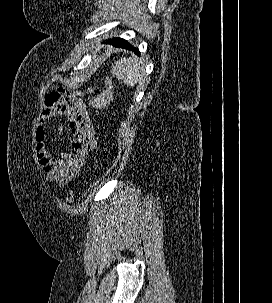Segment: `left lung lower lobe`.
<instances>
[{"label": "left lung lower lobe", "instance_id": "0a47b994", "mask_svg": "<svg viewBox=\"0 0 272 303\" xmlns=\"http://www.w3.org/2000/svg\"><path fill=\"white\" fill-rule=\"evenodd\" d=\"M108 43H111L112 45H114L115 47H121V48H125L131 51H134L135 53H137L138 55L140 54L138 48H134L132 47L130 44L127 43V41H125L122 38H114V39H110L107 41Z\"/></svg>", "mask_w": 272, "mask_h": 303}]
</instances>
